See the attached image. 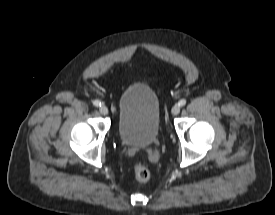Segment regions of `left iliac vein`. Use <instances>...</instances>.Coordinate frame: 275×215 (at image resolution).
Returning <instances> with one entry per match:
<instances>
[{"instance_id": "left-iliac-vein-1", "label": "left iliac vein", "mask_w": 275, "mask_h": 215, "mask_svg": "<svg viewBox=\"0 0 275 215\" xmlns=\"http://www.w3.org/2000/svg\"><path fill=\"white\" fill-rule=\"evenodd\" d=\"M179 112H180V106L179 105H175V106L172 107V109H171L172 115H177V114H179Z\"/></svg>"}]
</instances>
